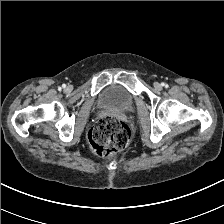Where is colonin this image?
<instances>
[{
	"label": "colon",
	"mask_w": 224,
	"mask_h": 224,
	"mask_svg": "<svg viewBox=\"0 0 224 224\" xmlns=\"http://www.w3.org/2000/svg\"><path fill=\"white\" fill-rule=\"evenodd\" d=\"M131 137L128 125L115 116L100 118L89 133V147L98 157H110L124 149Z\"/></svg>",
	"instance_id": "1"
}]
</instances>
